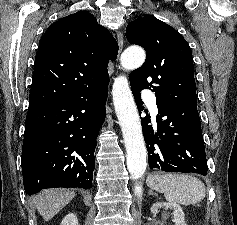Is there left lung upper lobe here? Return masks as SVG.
<instances>
[{"label":"left lung upper lobe","instance_id":"1","mask_svg":"<svg viewBox=\"0 0 237 225\" xmlns=\"http://www.w3.org/2000/svg\"><path fill=\"white\" fill-rule=\"evenodd\" d=\"M126 38L146 51L144 64L131 72L130 84L151 89L158 101L197 103L192 52L187 41L173 27L147 15L130 22Z\"/></svg>","mask_w":237,"mask_h":225}]
</instances>
